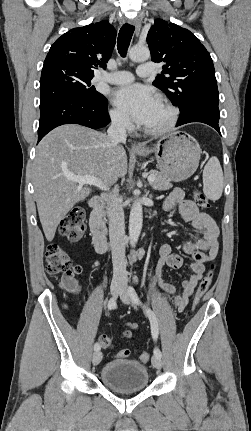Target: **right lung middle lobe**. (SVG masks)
Here are the masks:
<instances>
[{"instance_id": "1", "label": "right lung middle lobe", "mask_w": 251, "mask_h": 431, "mask_svg": "<svg viewBox=\"0 0 251 431\" xmlns=\"http://www.w3.org/2000/svg\"><path fill=\"white\" fill-rule=\"evenodd\" d=\"M94 74L67 63L51 64L42 69L40 79L41 96L50 92H63L92 101L106 98L91 85Z\"/></svg>"}]
</instances>
